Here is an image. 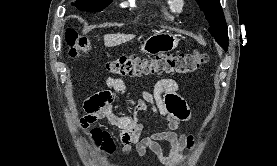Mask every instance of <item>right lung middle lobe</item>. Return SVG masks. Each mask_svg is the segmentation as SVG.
Returning a JSON list of instances; mask_svg holds the SVG:
<instances>
[{"label": "right lung middle lobe", "mask_w": 277, "mask_h": 166, "mask_svg": "<svg viewBox=\"0 0 277 166\" xmlns=\"http://www.w3.org/2000/svg\"><path fill=\"white\" fill-rule=\"evenodd\" d=\"M111 2L112 0H77L73 5L81 11L100 12Z\"/></svg>", "instance_id": "1"}]
</instances>
